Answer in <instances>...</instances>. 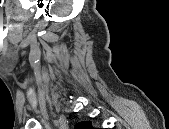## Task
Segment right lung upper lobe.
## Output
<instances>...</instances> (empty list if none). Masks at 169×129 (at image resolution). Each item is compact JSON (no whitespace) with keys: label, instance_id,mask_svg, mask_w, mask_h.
<instances>
[{"label":"right lung upper lobe","instance_id":"right-lung-upper-lobe-1","mask_svg":"<svg viewBox=\"0 0 169 129\" xmlns=\"http://www.w3.org/2000/svg\"><path fill=\"white\" fill-rule=\"evenodd\" d=\"M76 127L81 128V129H90L91 128V122L90 121H84L82 123L77 124Z\"/></svg>","mask_w":169,"mask_h":129}]
</instances>
